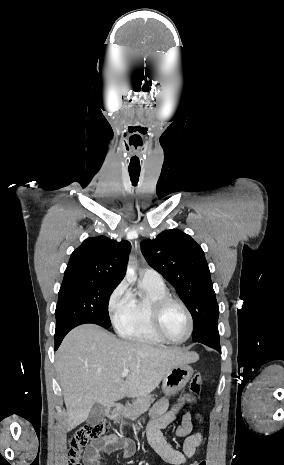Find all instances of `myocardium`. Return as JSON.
I'll return each mask as SVG.
<instances>
[{
	"label": "myocardium",
	"instance_id": "f54148a6",
	"mask_svg": "<svg viewBox=\"0 0 284 465\" xmlns=\"http://www.w3.org/2000/svg\"><path fill=\"white\" fill-rule=\"evenodd\" d=\"M177 305L181 307L187 314L189 320V330L185 338L179 341H174L169 339L163 331V319L167 309L172 306ZM150 326L154 334L164 343L169 345H181L187 342L193 334L194 331V318L189 310V308L182 303L181 301L174 299L172 297H163L158 299L152 309V321H150Z\"/></svg>",
	"mask_w": 284,
	"mask_h": 465
}]
</instances>
